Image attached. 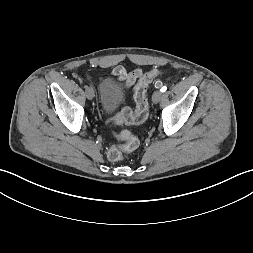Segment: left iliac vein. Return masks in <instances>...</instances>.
Listing matches in <instances>:
<instances>
[{
    "label": "left iliac vein",
    "mask_w": 253,
    "mask_h": 253,
    "mask_svg": "<svg viewBox=\"0 0 253 253\" xmlns=\"http://www.w3.org/2000/svg\"><path fill=\"white\" fill-rule=\"evenodd\" d=\"M162 98V92L161 91H155L152 96V101L154 103H158Z\"/></svg>",
    "instance_id": "obj_1"
}]
</instances>
